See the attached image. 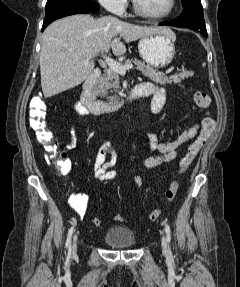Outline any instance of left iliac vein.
<instances>
[{"mask_svg":"<svg viewBox=\"0 0 240 287\" xmlns=\"http://www.w3.org/2000/svg\"><path fill=\"white\" fill-rule=\"evenodd\" d=\"M161 245H162L163 251H164V252H167V243H166V240H165L164 235H162Z\"/></svg>","mask_w":240,"mask_h":287,"instance_id":"left-iliac-vein-1","label":"left iliac vein"}]
</instances>
